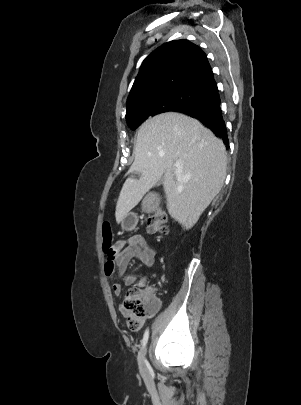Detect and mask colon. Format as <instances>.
Listing matches in <instances>:
<instances>
[{"mask_svg":"<svg viewBox=\"0 0 301 405\" xmlns=\"http://www.w3.org/2000/svg\"><path fill=\"white\" fill-rule=\"evenodd\" d=\"M167 215L163 210L152 213L147 219V231L151 234H166ZM103 250L107 260L111 261L116 253L113 234L109 222L102 225ZM159 299L154 289H129L122 302V312L132 330H139L147 318L153 316L158 309Z\"/></svg>","mask_w":301,"mask_h":405,"instance_id":"colon-1","label":"colon"}]
</instances>
